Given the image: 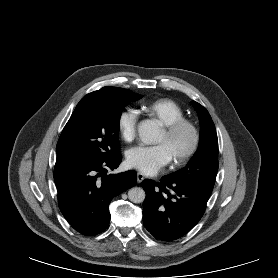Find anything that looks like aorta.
Instances as JSON below:
<instances>
[{"label":"aorta","instance_id":"762f6f07","mask_svg":"<svg viewBox=\"0 0 278 278\" xmlns=\"http://www.w3.org/2000/svg\"><path fill=\"white\" fill-rule=\"evenodd\" d=\"M138 134L145 144H154L158 141L160 129L156 121L144 120L138 125ZM145 196L144 189L140 187H133L128 191V198L133 203H142Z\"/></svg>","mask_w":278,"mask_h":278}]
</instances>
